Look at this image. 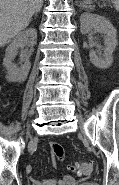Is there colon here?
<instances>
[{
  "label": "colon",
  "instance_id": "obj_1",
  "mask_svg": "<svg viewBox=\"0 0 119 185\" xmlns=\"http://www.w3.org/2000/svg\"><path fill=\"white\" fill-rule=\"evenodd\" d=\"M68 167L69 170L76 172L82 177H87L92 173V165L87 162H74L71 163Z\"/></svg>",
  "mask_w": 119,
  "mask_h": 185
}]
</instances>
